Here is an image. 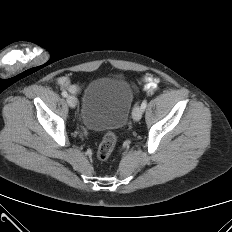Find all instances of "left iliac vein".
<instances>
[{
	"mask_svg": "<svg viewBox=\"0 0 232 232\" xmlns=\"http://www.w3.org/2000/svg\"><path fill=\"white\" fill-rule=\"evenodd\" d=\"M143 109L139 106L135 107L132 113V117L135 121H139L142 117Z\"/></svg>",
	"mask_w": 232,
	"mask_h": 232,
	"instance_id": "obj_1",
	"label": "left iliac vein"
}]
</instances>
